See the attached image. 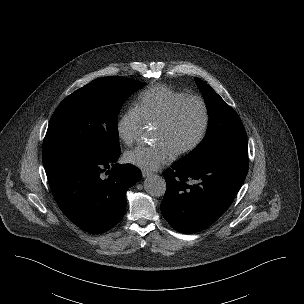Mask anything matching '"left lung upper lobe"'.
I'll use <instances>...</instances> for the list:
<instances>
[{"label": "left lung upper lobe", "mask_w": 304, "mask_h": 304, "mask_svg": "<svg viewBox=\"0 0 304 304\" xmlns=\"http://www.w3.org/2000/svg\"><path fill=\"white\" fill-rule=\"evenodd\" d=\"M195 81L207 105L209 126L201 144L180 161L199 167L226 157L247 159V135L237 113L209 85L197 77Z\"/></svg>", "instance_id": "obj_1"}]
</instances>
